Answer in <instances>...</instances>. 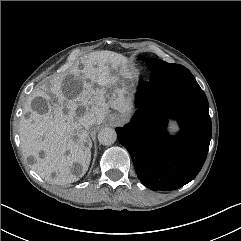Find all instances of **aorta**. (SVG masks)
Wrapping results in <instances>:
<instances>
[{
  "mask_svg": "<svg viewBox=\"0 0 241 241\" xmlns=\"http://www.w3.org/2000/svg\"><path fill=\"white\" fill-rule=\"evenodd\" d=\"M117 139L116 131L113 128L105 127L98 133L99 143L105 146L113 144Z\"/></svg>",
  "mask_w": 241,
  "mask_h": 241,
  "instance_id": "aorta-1",
  "label": "aorta"
}]
</instances>
